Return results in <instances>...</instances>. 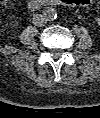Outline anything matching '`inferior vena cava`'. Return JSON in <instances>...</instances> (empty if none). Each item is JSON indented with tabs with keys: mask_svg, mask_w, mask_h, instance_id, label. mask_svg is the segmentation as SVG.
Wrapping results in <instances>:
<instances>
[{
	"mask_svg": "<svg viewBox=\"0 0 100 118\" xmlns=\"http://www.w3.org/2000/svg\"><path fill=\"white\" fill-rule=\"evenodd\" d=\"M32 22L37 27H42L47 23V21H46L45 17L43 16V14L34 15Z\"/></svg>",
	"mask_w": 100,
	"mask_h": 118,
	"instance_id": "1",
	"label": "inferior vena cava"
}]
</instances>
